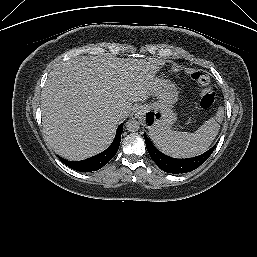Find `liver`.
Returning a JSON list of instances; mask_svg holds the SVG:
<instances>
[{"label":"liver","mask_w":257,"mask_h":257,"mask_svg":"<svg viewBox=\"0 0 257 257\" xmlns=\"http://www.w3.org/2000/svg\"><path fill=\"white\" fill-rule=\"evenodd\" d=\"M163 64L158 59L109 56H77L60 63L50 72L41 96L49 145L72 161L105 150L132 103L152 95L155 75Z\"/></svg>","instance_id":"liver-1"}]
</instances>
